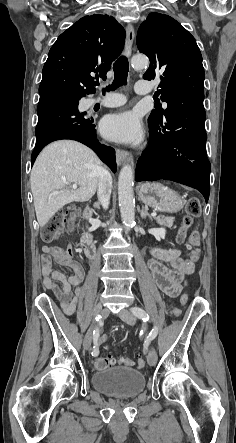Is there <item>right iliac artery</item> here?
I'll list each match as a JSON object with an SVG mask.
<instances>
[{"instance_id":"right-iliac-artery-1","label":"right iliac artery","mask_w":236,"mask_h":443,"mask_svg":"<svg viewBox=\"0 0 236 443\" xmlns=\"http://www.w3.org/2000/svg\"><path fill=\"white\" fill-rule=\"evenodd\" d=\"M102 317L100 315L96 316V321L98 322ZM99 338V328L96 327L93 330V342H94V346H93V351H92V356H97L99 354V350L97 347V340Z\"/></svg>"}]
</instances>
